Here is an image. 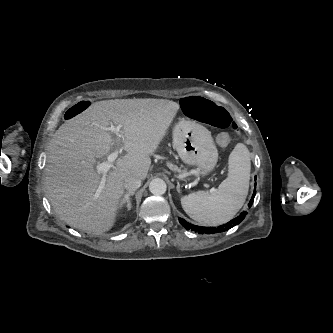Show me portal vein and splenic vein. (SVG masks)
Masks as SVG:
<instances>
[{"label": "portal vein and splenic vein", "instance_id": "1", "mask_svg": "<svg viewBox=\"0 0 333 333\" xmlns=\"http://www.w3.org/2000/svg\"><path fill=\"white\" fill-rule=\"evenodd\" d=\"M121 127H122L121 125H118L116 127H113V126L110 127V130H112L117 136L116 149L107 156L106 162H102L96 166V170L103 174L100 186L98 188V192L102 189V187L104 186V184L106 182V173L108 172V170L110 168L113 167L112 163L117 159V157L121 151L120 150V138L122 137V135L120 133Z\"/></svg>", "mask_w": 333, "mask_h": 333}]
</instances>
